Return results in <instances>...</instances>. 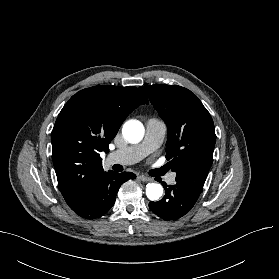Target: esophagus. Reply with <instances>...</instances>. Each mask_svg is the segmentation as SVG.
<instances>
[{
    "label": "esophagus",
    "instance_id": "34e87169",
    "mask_svg": "<svg viewBox=\"0 0 279 279\" xmlns=\"http://www.w3.org/2000/svg\"><path fill=\"white\" fill-rule=\"evenodd\" d=\"M141 181H144V182H148V181H151L152 179L150 177H147V176H144V175H140L138 177Z\"/></svg>",
    "mask_w": 279,
    "mask_h": 279
}]
</instances>
